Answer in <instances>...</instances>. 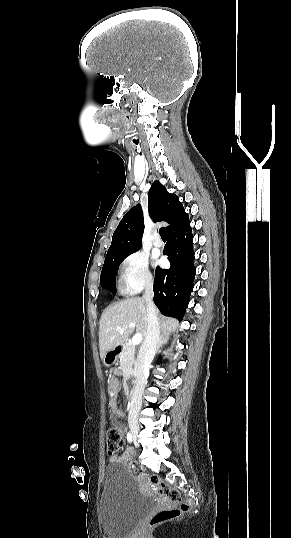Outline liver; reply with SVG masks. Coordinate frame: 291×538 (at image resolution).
<instances>
[{
    "mask_svg": "<svg viewBox=\"0 0 291 538\" xmlns=\"http://www.w3.org/2000/svg\"><path fill=\"white\" fill-rule=\"evenodd\" d=\"M135 323L136 332L145 339L147 332V303L144 298L132 297L108 306L102 313L99 322V349L103 359L107 351L125 343L133 333L134 327H126ZM178 321L173 318H162V333L169 335L177 329ZM118 328H123L120 331Z\"/></svg>",
    "mask_w": 291,
    "mask_h": 538,
    "instance_id": "6515ba94",
    "label": "liver"
}]
</instances>
